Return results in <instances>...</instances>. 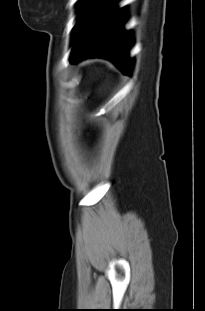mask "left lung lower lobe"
Here are the masks:
<instances>
[{
    "mask_svg": "<svg viewBox=\"0 0 205 311\" xmlns=\"http://www.w3.org/2000/svg\"><path fill=\"white\" fill-rule=\"evenodd\" d=\"M124 22L122 9H115L98 29L73 48L70 62L90 56L105 57L115 62L124 74H130L132 62L128 53L132 41L130 34L123 30Z\"/></svg>",
    "mask_w": 205,
    "mask_h": 311,
    "instance_id": "obj_1",
    "label": "left lung lower lobe"
}]
</instances>
